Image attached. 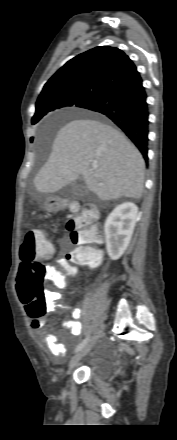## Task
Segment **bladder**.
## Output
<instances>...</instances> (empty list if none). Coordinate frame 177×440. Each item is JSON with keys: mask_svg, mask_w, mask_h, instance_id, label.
I'll list each match as a JSON object with an SVG mask.
<instances>
[{"mask_svg": "<svg viewBox=\"0 0 177 440\" xmlns=\"http://www.w3.org/2000/svg\"><path fill=\"white\" fill-rule=\"evenodd\" d=\"M90 369L97 379L104 380L112 371L111 361L100 357H94L90 362Z\"/></svg>", "mask_w": 177, "mask_h": 440, "instance_id": "31cf9c89", "label": "bladder"}]
</instances>
